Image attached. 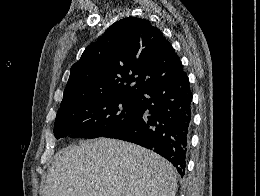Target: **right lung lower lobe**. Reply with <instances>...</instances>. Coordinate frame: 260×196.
I'll return each mask as SVG.
<instances>
[{
	"instance_id": "98d812e1",
	"label": "right lung lower lobe",
	"mask_w": 260,
	"mask_h": 196,
	"mask_svg": "<svg viewBox=\"0 0 260 196\" xmlns=\"http://www.w3.org/2000/svg\"><path fill=\"white\" fill-rule=\"evenodd\" d=\"M142 117L103 137L132 142L153 150L185 175L191 128L192 93L187 74L158 84L137 97Z\"/></svg>"
}]
</instances>
